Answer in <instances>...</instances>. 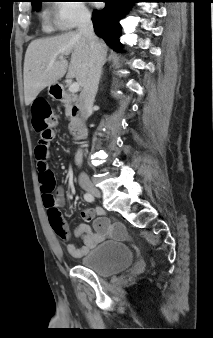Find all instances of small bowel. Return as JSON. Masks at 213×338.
<instances>
[{"label":"small bowel","instance_id":"small-bowel-1","mask_svg":"<svg viewBox=\"0 0 213 338\" xmlns=\"http://www.w3.org/2000/svg\"><path fill=\"white\" fill-rule=\"evenodd\" d=\"M54 134H51L49 137L41 138L35 148V159L37 163L45 162L47 163L50 158V145L54 140ZM82 161V153L78 152L76 154V162L80 164ZM65 203V198L63 191L61 189L58 190L56 197V208H59ZM50 211L48 210V215ZM81 216L85 221H90L94 217V211L90 208H85L81 211ZM112 226L101 217L100 221H98L94 225V230L86 223L81 224L76 233L82 237L83 246H79L75 242L68 243L67 250L71 255L81 256L89 251L92 247L96 246L103 240H105L108 236L109 229ZM55 232L62 237L63 239L69 238L68 225L65 221H63L62 225L56 228H53ZM112 234L120 236L122 238H128V232L125 228L117 226L112 231Z\"/></svg>","mask_w":213,"mask_h":338}]
</instances>
